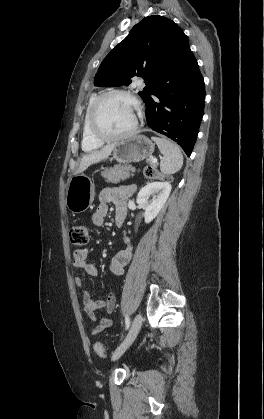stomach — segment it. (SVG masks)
Here are the masks:
<instances>
[{
    "mask_svg": "<svg viewBox=\"0 0 264 419\" xmlns=\"http://www.w3.org/2000/svg\"><path fill=\"white\" fill-rule=\"evenodd\" d=\"M154 143L143 135H136L131 139L117 142L113 150V158L120 163L138 162L152 155ZM95 196V186L91 179L84 174L74 175L68 184L66 192V206L72 213L86 211Z\"/></svg>",
    "mask_w": 264,
    "mask_h": 419,
    "instance_id": "1",
    "label": "stomach"
}]
</instances>
